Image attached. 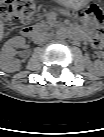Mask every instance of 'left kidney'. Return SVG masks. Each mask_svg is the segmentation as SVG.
Listing matches in <instances>:
<instances>
[{
  "label": "left kidney",
  "mask_w": 104,
  "mask_h": 137,
  "mask_svg": "<svg viewBox=\"0 0 104 137\" xmlns=\"http://www.w3.org/2000/svg\"><path fill=\"white\" fill-rule=\"evenodd\" d=\"M103 67H104L103 61L97 60V61L94 62V65H93L92 69L93 70H100V71H102Z\"/></svg>",
  "instance_id": "obj_1"
}]
</instances>
